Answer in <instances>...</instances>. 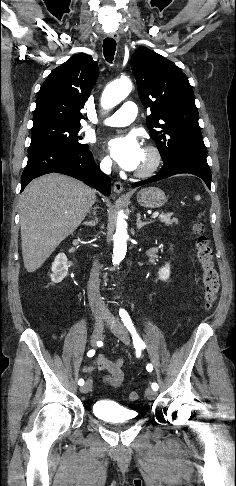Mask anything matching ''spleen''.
I'll return each mask as SVG.
<instances>
[{
    "label": "spleen",
    "instance_id": "obj_1",
    "mask_svg": "<svg viewBox=\"0 0 236 486\" xmlns=\"http://www.w3.org/2000/svg\"><path fill=\"white\" fill-rule=\"evenodd\" d=\"M195 199H196V200H199V199H200V196H199V195H197V196L195 197Z\"/></svg>",
    "mask_w": 236,
    "mask_h": 486
}]
</instances>
